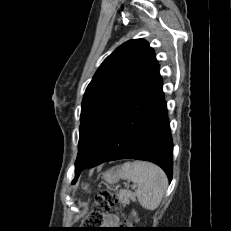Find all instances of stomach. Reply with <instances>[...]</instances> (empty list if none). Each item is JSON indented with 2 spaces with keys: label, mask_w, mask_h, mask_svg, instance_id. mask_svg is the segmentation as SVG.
I'll return each mask as SVG.
<instances>
[{
  "label": "stomach",
  "mask_w": 231,
  "mask_h": 231,
  "mask_svg": "<svg viewBox=\"0 0 231 231\" xmlns=\"http://www.w3.org/2000/svg\"><path fill=\"white\" fill-rule=\"evenodd\" d=\"M118 176H119L118 173H116L113 170H111V171H108L105 174V180L109 184H114V183H116L118 181V179H119Z\"/></svg>",
  "instance_id": "1"
}]
</instances>
